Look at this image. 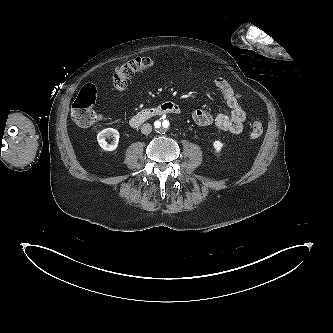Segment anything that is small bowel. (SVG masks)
Masks as SVG:
<instances>
[{"label":"small bowel","mask_w":333,"mask_h":333,"mask_svg":"<svg viewBox=\"0 0 333 333\" xmlns=\"http://www.w3.org/2000/svg\"><path fill=\"white\" fill-rule=\"evenodd\" d=\"M213 85L226 101L230 109L229 114L219 113L214 115L206 109H194L190 113L192 120L201 127L213 124L222 131L240 134L246 119V113L240 105V95L222 77L215 78Z\"/></svg>","instance_id":"small-bowel-1"}]
</instances>
